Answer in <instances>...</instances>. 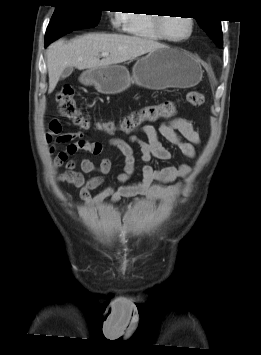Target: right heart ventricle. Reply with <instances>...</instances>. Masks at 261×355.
Wrapping results in <instances>:
<instances>
[{
  "mask_svg": "<svg viewBox=\"0 0 261 355\" xmlns=\"http://www.w3.org/2000/svg\"><path fill=\"white\" fill-rule=\"evenodd\" d=\"M155 14L146 12H130L126 14L127 27L129 34L135 37L162 40L161 35L155 27Z\"/></svg>",
  "mask_w": 261,
  "mask_h": 355,
  "instance_id": "e07e8e85",
  "label": "right heart ventricle"
}]
</instances>
